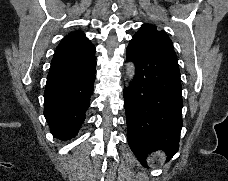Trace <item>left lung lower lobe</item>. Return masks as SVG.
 <instances>
[{
	"instance_id": "left-lung-lower-lobe-1",
	"label": "left lung lower lobe",
	"mask_w": 228,
	"mask_h": 181,
	"mask_svg": "<svg viewBox=\"0 0 228 181\" xmlns=\"http://www.w3.org/2000/svg\"><path fill=\"white\" fill-rule=\"evenodd\" d=\"M135 76L124 89V107L131 150L145 165L149 153L178 152L182 128V87L174 51L133 38L126 50Z\"/></svg>"
}]
</instances>
